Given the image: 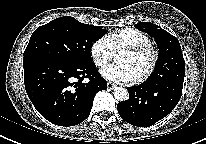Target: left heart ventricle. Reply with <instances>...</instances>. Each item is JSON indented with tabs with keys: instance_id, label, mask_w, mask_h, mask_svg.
I'll return each mask as SVG.
<instances>
[{
	"instance_id": "1",
	"label": "left heart ventricle",
	"mask_w": 206,
	"mask_h": 144,
	"mask_svg": "<svg viewBox=\"0 0 206 144\" xmlns=\"http://www.w3.org/2000/svg\"><path fill=\"white\" fill-rule=\"evenodd\" d=\"M118 62L128 64L138 78L147 69L150 62V55L147 52L130 54L126 51H122L118 56Z\"/></svg>"
}]
</instances>
